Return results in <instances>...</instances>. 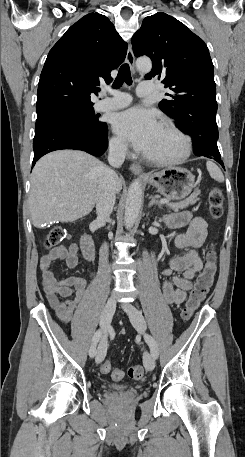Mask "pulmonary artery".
<instances>
[{"mask_svg":"<svg viewBox=\"0 0 245 457\" xmlns=\"http://www.w3.org/2000/svg\"><path fill=\"white\" fill-rule=\"evenodd\" d=\"M106 91L111 93L113 96L111 98H105L98 101L94 105L96 111L101 112L106 110L120 109L127 106L131 102L130 96L126 93L115 92L109 89ZM135 91L141 99H144L146 95H155L156 88L154 86L153 80H139Z\"/></svg>","mask_w":245,"mask_h":457,"instance_id":"1","label":"pulmonary artery"}]
</instances>
